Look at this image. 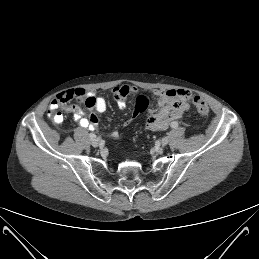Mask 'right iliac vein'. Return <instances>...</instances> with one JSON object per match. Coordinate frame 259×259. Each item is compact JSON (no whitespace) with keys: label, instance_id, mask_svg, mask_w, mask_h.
<instances>
[{"label":"right iliac vein","instance_id":"obj_1","mask_svg":"<svg viewBox=\"0 0 259 259\" xmlns=\"http://www.w3.org/2000/svg\"><path fill=\"white\" fill-rule=\"evenodd\" d=\"M91 144H92V146H94V147H98L99 144H100V139H99V138H94V139H92V140H91Z\"/></svg>","mask_w":259,"mask_h":259}]
</instances>
